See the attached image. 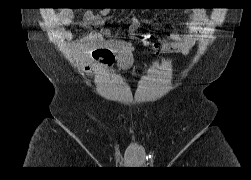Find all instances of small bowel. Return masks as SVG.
<instances>
[{"mask_svg":"<svg viewBox=\"0 0 251 180\" xmlns=\"http://www.w3.org/2000/svg\"><path fill=\"white\" fill-rule=\"evenodd\" d=\"M105 14V10L98 13L87 12L84 22L86 25L100 26ZM73 20L74 14L69 9L61 10L56 16V23L61 26H68L73 23ZM207 20L206 11L202 9L190 11L184 23L186 32L184 34L174 32L165 38H161L159 42L162 50L166 53L189 54L200 41ZM61 35L65 40L73 39L69 31L64 30ZM148 37H151V35H148ZM72 47L76 52H91L93 57L104 67H110L115 60L122 68H127L131 63L133 50L131 43L110 38L108 29L91 31L81 39L74 41Z\"/></svg>","mask_w":251,"mask_h":180,"instance_id":"1","label":"small bowel"}]
</instances>
